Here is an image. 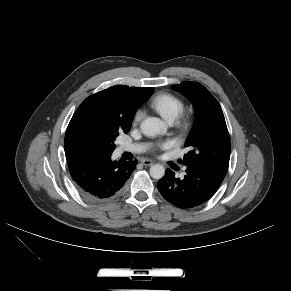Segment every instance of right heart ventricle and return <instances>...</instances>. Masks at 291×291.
<instances>
[{
	"mask_svg": "<svg viewBox=\"0 0 291 291\" xmlns=\"http://www.w3.org/2000/svg\"><path fill=\"white\" fill-rule=\"evenodd\" d=\"M150 105L168 122L178 119L184 109L183 101L178 96L167 92L155 95L150 100Z\"/></svg>",
	"mask_w": 291,
	"mask_h": 291,
	"instance_id": "e07e8e85",
	"label": "right heart ventricle"
}]
</instances>
